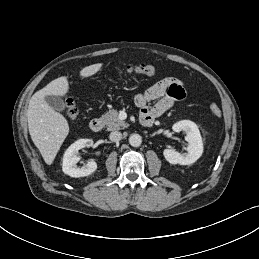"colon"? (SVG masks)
Here are the masks:
<instances>
[{"mask_svg": "<svg viewBox=\"0 0 259 259\" xmlns=\"http://www.w3.org/2000/svg\"><path fill=\"white\" fill-rule=\"evenodd\" d=\"M124 72L129 75L153 76L157 73V69L152 65L139 64V65L127 66L124 69ZM64 111H65V115L69 121L74 122L77 120L78 115H79V109L73 99L68 98V97L65 98ZM209 111L215 117H218L221 115L220 108L215 104L210 105Z\"/></svg>", "mask_w": 259, "mask_h": 259, "instance_id": "1", "label": "colon"}]
</instances>
